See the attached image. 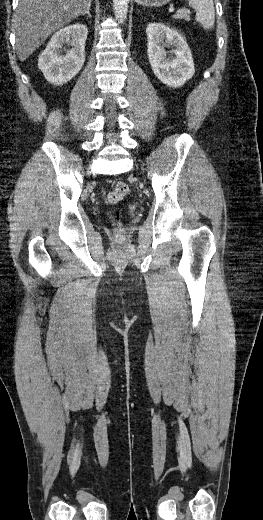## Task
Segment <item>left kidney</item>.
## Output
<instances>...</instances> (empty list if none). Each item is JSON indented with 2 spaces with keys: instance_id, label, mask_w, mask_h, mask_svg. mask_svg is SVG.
Masks as SVG:
<instances>
[{
  "instance_id": "1",
  "label": "left kidney",
  "mask_w": 263,
  "mask_h": 520,
  "mask_svg": "<svg viewBox=\"0 0 263 520\" xmlns=\"http://www.w3.org/2000/svg\"><path fill=\"white\" fill-rule=\"evenodd\" d=\"M146 33L147 55L155 76L173 88L184 85L195 73L192 54L184 37L162 23H149ZM169 45L175 46L173 58L167 57L164 49Z\"/></svg>"
}]
</instances>
